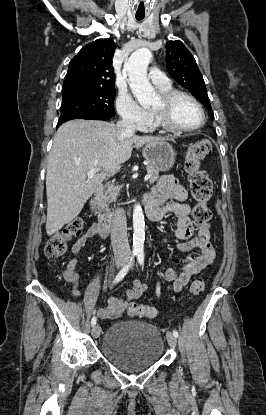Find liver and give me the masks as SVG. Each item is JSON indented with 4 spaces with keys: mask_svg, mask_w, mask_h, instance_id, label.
<instances>
[{
    "mask_svg": "<svg viewBox=\"0 0 266 415\" xmlns=\"http://www.w3.org/2000/svg\"><path fill=\"white\" fill-rule=\"evenodd\" d=\"M164 141L161 137H121L114 123L75 119L61 125L48 156L46 173L48 236L76 218L86 201L106 178L144 144ZM99 171L91 178V169Z\"/></svg>",
    "mask_w": 266,
    "mask_h": 415,
    "instance_id": "obj_1",
    "label": "liver"
}]
</instances>
